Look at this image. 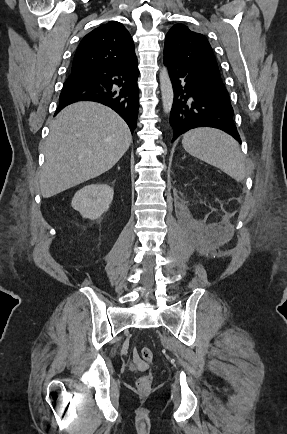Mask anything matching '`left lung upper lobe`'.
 <instances>
[{"label": "left lung upper lobe", "mask_w": 287, "mask_h": 434, "mask_svg": "<svg viewBox=\"0 0 287 434\" xmlns=\"http://www.w3.org/2000/svg\"><path fill=\"white\" fill-rule=\"evenodd\" d=\"M164 58L200 67L220 77L219 68L207 38L183 24L174 25L166 35Z\"/></svg>", "instance_id": "obj_1"}]
</instances>
